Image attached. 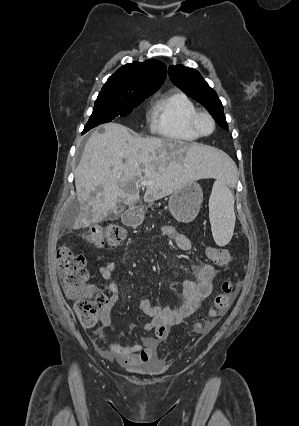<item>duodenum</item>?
<instances>
[{
    "instance_id": "obj_1",
    "label": "duodenum",
    "mask_w": 299,
    "mask_h": 426,
    "mask_svg": "<svg viewBox=\"0 0 299 426\" xmlns=\"http://www.w3.org/2000/svg\"><path fill=\"white\" fill-rule=\"evenodd\" d=\"M123 219H124V222L126 224H133V223H135V221H136V212H135V210H133V209L128 210L124 214Z\"/></svg>"
}]
</instances>
